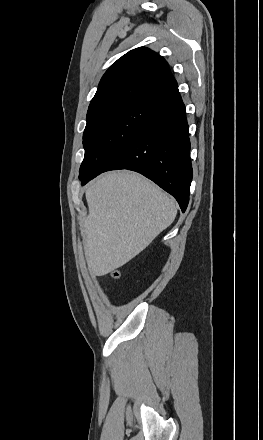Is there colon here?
I'll return each mask as SVG.
<instances>
[{
	"label": "colon",
	"mask_w": 263,
	"mask_h": 440,
	"mask_svg": "<svg viewBox=\"0 0 263 440\" xmlns=\"http://www.w3.org/2000/svg\"><path fill=\"white\" fill-rule=\"evenodd\" d=\"M120 272L118 271V270H115L114 272H113V274H112V276L115 278V279H118L119 277H120Z\"/></svg>",
	"instance_id": "1"
}]
</instances>
